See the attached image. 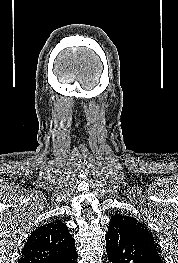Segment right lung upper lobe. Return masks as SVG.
I'll return each instance as SVG.
<instances>
[{
    "label": "right lung upper lobe",
    "mask_w": 178,
    "mask_h": 263,
    "mask_svg": "<svg viewBox=\"0 0 178 263\" xmlns=\"http://www.w3.org/2000/svg\"><path fill=\"white\" fill-rule=\"evenodd\" d=\"M75 239L61 221L37 228L27 239L18 263H62L76 253Z\"/></svg>",
    "instance_id": "1"
}]
</instances>
